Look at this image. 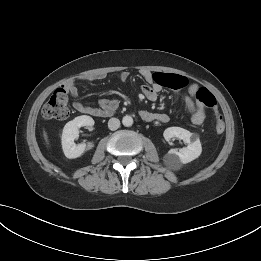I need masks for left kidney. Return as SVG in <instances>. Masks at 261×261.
<instances>
[{"mask_svg": "<svg viewBox=\"0 0 261 261\" xmlns=\"http://www.w3.org/2000/svg\"><path fill=\"white\" fill-rule=\"evenodd\" d=\"M163 136L166 141L176 137L187 143V147L180 149H171L165 156V161L170 166H176L179 163L186 164L198 158L202 152V147L198 136L180 127H169L165 129Z\"/></svg>", "mask_w": 261, "mask_h": 261, "instance_id": "obj_1", "label": "left kidney"}]
</instances>
